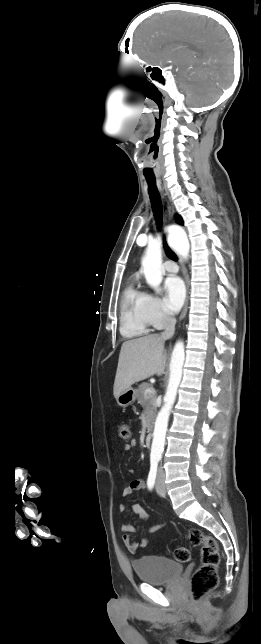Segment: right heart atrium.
<instances>
[{"label":"right heart atrium","instance_id":"obj_1","mask_svg":"<svg viewBox=\"0 0 261 644\" xmlns=\"http://www.w3.org/2000/svg\"><path fill=\"white\" fill-rule=\"evenodd\" d=\"M147 313L151 324L156 328L164 327L172 320L165 311L162 301L150 294L147 295Z\"/></svg>","mask_w":261,"mask_h":644}]
</instances>
